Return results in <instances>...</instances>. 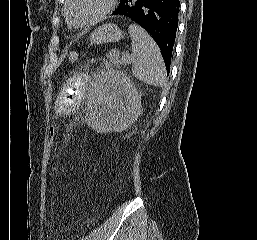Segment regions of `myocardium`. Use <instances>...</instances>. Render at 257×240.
Masks as SVG:
<instances>
[{
    "label": "myocardium",
    "instance_id": "1",
    "mask_svg": "<svg viewBox=\"0 0 257 240\" xmlns=\"http://www.w3.org/2000/svg\"><path fill=\"white\" fill-rule=\"evenodd\" d=\"M72 1L73 0H66V3L64 5V15L67 20V23L71 27L76 28V29L88 28V27L98 23L99 21L104 19L113 10L115 3H116V0H107L105 7L96 16H94L92 19L88 20L85 23L76 24L71 20L70 15H69V7H70V4Z\"/></svg>",
    "mask_w": 257,
    "mask_h": 240
}]
</instances>
